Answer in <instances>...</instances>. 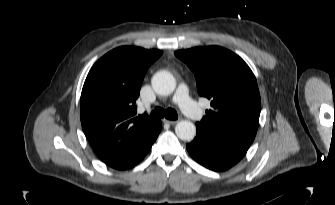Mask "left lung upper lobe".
I'll use <instances>...</instances> for the list:
<instances>
[{
	"label": "left lung upper lobe",
	"mask_w": 335,
	"mask_h": 205,
	"mask_svg": "<svg viewBox=\"0 0 335 205\" xmlns=\"http://www.w3.org/2000/svg\"><path fill=\"white\" fill-rule=\"evenodd\" d=\"M175 55L194 72L200 96L211 100L202 128L229 139L251 144L261 110L257 81L235 53L219 47L179 50Z\"/></svg>",
	"instance_id": "5c2ea615"
}]
</instances>
